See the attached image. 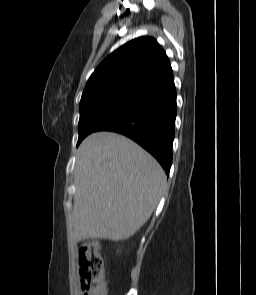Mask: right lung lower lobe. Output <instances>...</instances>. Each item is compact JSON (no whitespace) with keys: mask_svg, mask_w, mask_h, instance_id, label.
<instances>
[{"mask_svg":"<svg viewBox=\"0 0 256 295\" xmlns=\"http://www.w3.org/2000/svg\"><path fill=\"white\" fill-rule=\"evenodd\" d=\"M175 118L176 89L170 68L97 131H114L131 138L150 152L169 174Z\"/></svg>","mask_w":256,"mask_h":295,"instance_id":"98d812e1","label":"right lung lower lobe"}]
</instances>
